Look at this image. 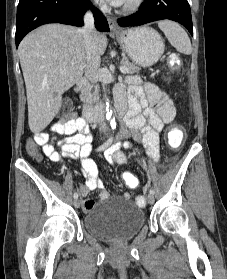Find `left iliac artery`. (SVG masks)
<instances>
[{
  "label": "left iliac artery",
  "instance_id": "1",
  "mask_svg": "<svg viewBox=\"0 0 227 279\" xmlns=\"http://www.w3.org/2000/svg\"><path fill=\"white\" fill-rule=\"evenodd\" d=\"M149 193L152 194V195H154L155 192H154L153 189H150V190H149Z\"/></svg>",
  "mask_w": 227,
  "mask_h": 279
}]
</instances>
